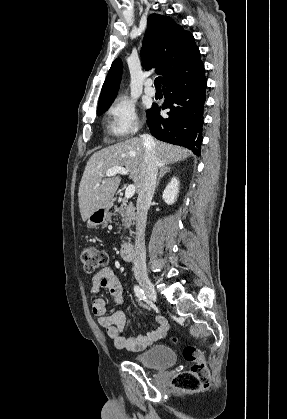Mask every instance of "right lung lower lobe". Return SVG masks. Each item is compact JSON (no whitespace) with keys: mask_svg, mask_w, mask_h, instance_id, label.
I'll list each match as a JSON object with an SVG mask.
<instances>
[{"mask_svg":"<svg viewBox=\"0 0 287 419\" xmlns=\"http://www.w3.org/2000/svg\"><path fill=\"white\" fill-rule=\"evenodd\" d=\"M207 80L204 66L192 74L163 85L165 101L154 104L147 113V124L157 139L184 146L199 155L202 143ZM169 109L167 116L160 111Z\"/></svg>","mask_w":287,"mask_h":419,"instance_id":"98d812e1","label":"right lung lower lobe"}]
</instances>
